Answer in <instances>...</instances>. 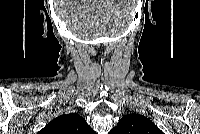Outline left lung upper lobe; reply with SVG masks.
<instances>
[{"label":"left lung upper lobe","instance_id":"1","mask_svg":"<svg viewBox=\"0 0 200 134\" xmlns=\"http://www.w3.org/2000/svg\"><path fill=\"white\" fill-rule=\"evenodd\" d=\"M110 134H162V131L147 117L128 114L122 117Z\"/></svg>","mask_w":200,"mask_h":134}]
</instances>
